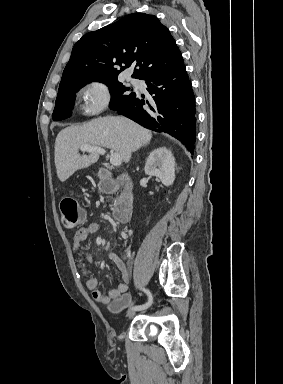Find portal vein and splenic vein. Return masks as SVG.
<instances>
[{"mask_svg":"<svg viewBox=\"0 0 283 384\" xmlns=\"http://www.w3.org/2000/svg\"><path fill=\"white\" fill-rule=\"evenodd\" d=\"M80 150L81 152H97V154H101V156L106 154L104 148H93L90 144H82ZM110 164H112V166H121L122 160L120 154H111Z\"/></svg>","mask_w":283,"mask_h":384,"instance_id":"obj_1","label":"portal vein and splenic vein"}]
</instances>
